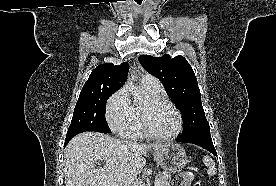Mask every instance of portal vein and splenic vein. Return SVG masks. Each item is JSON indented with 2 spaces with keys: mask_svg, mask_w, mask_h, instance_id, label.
Segmentation results:
<instances>
[{
  "mask_svg": "<svg viewBox=\"0 0 276 186\" xmlns=\"http://www.w3.org/2000/svg\"><path fill=\"white\" fill-rule=\"evenodd\" d=\"M106 186H111V184H108ZM155 186H158V180L157 179H155Z\"/></svg>",
  "mask_w": 276,
  "mask_h": 186,
  "instance_id": "1",
  "label": "portal vein and splenic vein"
}]
</instances>
